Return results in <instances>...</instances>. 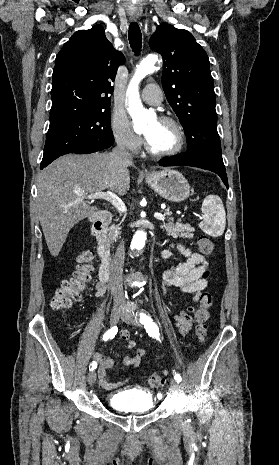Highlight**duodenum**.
<instances>
[{
    "label": "duodenum",
    "mask_w": 279,
    "mask_h": 465,
    "mask_svg": "<svg viewBox=\"0 0 279 465\" xmlns=\"http://www.w3.org/2000/svg\"><path fill=\"white\" fill-rule=\"evenodd\" d=\"M112 220V214L109 211H103L95 216L92 220V235L96 239L97 253L101 259V265L99 269V278L103 282L109 280V260H110V248L105 241V230L108 224Z\"/></svg>",
    "instance_id": "obj_1"
}]
</instances>
